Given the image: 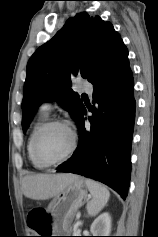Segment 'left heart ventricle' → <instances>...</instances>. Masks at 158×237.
I'll list each match as a JSON object with an SVG mask.
<instances>
[{
  "label": "left heart ventricle",
  "mask_w": 158,
  "mask_h": 237,
  "mask_svg": "<svg viewBox=\"0 0 158 237\" xmlns=\"http://www.w3.org/2000/svg\"><path fill=\"white\" fill-rule=\"evenodd\" d=\"M71 144L69 131L62 126L47 130L40 139L39 152L47 160H55L66 154Z\"/></svg>",
  "instance_id": "obj_1"
}]
</instances>
